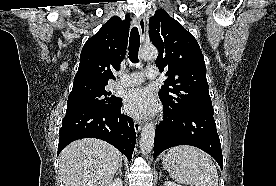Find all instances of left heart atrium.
<instances>
[{"mask_svg": "<svg viewBox=\"0 0 276 186\" xmlns=\"http://www.w3.org/2000/svg\"><path fill=\"white\" fill-rule=\"evenodd\" d=\"M124 110L133 117L143 118L156 111V101L148 89L136 88L126 93Z\"/></svg>", "mask_w": 276, "mask_h": 186, "instance_id": "1", "label": "left heart atrium"}]
</instances>
